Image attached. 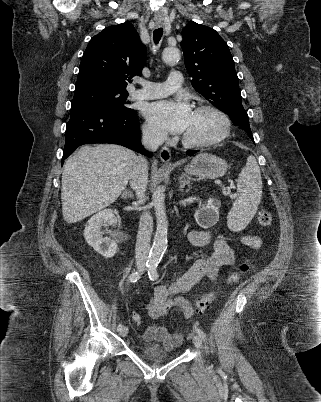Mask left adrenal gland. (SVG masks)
Returning <instances> with one entry per match:
<instances>
[{
  "instance_id": "left-adrenal-gland-1",
  "label": "left adrenal gland",
  "mask_w": 321,
  "mask_h": 402,
  "mask_svg": "<svg viewBox=\"0 0 321 402\" xmlns=\"http://www.w3.org/2000/svg\"><path fill=\"white\" fill-rule=\"evenodd\" d=\"M194 178H191L190 176H188L187 174H182L179 177V184H180V191L183 190V188L185 187V185L189 184L190 181H193Z\"/></svg>"
}]
</instances>
